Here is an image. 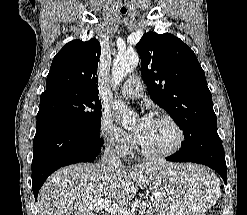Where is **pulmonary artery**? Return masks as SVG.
Instances as JSON below:
<instances>
[{"label":"pulmonary artery","instance_id":"pulmonary-artery-1","mask_svg":"<svg viewBox=\"0 0 247 215\" xmlns=\"http://www.w3.org/2000/svg\"><path fill=\"white\" fill-rule=\"evenodd\" d=\"M121 93L125 97L137 99L143 95V84L139 77H130L121 88Z\"/></svg>","mask_w":247,"mask_h":215}]
</instances>
